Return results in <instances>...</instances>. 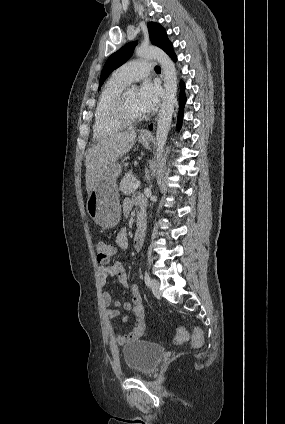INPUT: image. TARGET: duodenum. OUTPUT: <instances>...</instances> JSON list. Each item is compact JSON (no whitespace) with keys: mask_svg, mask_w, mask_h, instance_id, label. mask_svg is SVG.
<instances>
[{"mask_svg":"<svg viewBox=\"0 0 285 424\" xmlns=\"http://www.w3.org/2000/svg\"><path fill=\"white\" fill-rule=\"evenodd\" d=\"M147 217L141 213L136 221V236L143 238L145 236Z\"/></svg>","mask_w":285,"mask_h":424,"instance_id":"obj_1","label":"duodenum"}]
</instances>
